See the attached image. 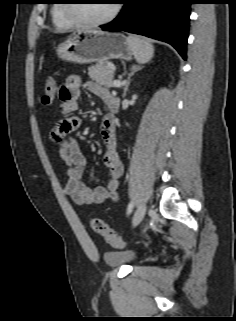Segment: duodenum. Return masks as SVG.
I'll return each instance as SVG.
<instances>
[{"label":"duodenum","instance_id":"410a0bca","mask_svg":"<svg viewBox=\"0 0 236 321\" xmlns=\"http://www.w3.org/2000/svg\"><path fill=\"white\" fill-rule=\"evenodd\" d=\"M119 100L115 97H111L108 101V108L111 113H116L119 110Z\"/></svg>","mask_w":236,"mask_h":321}]
</instances>
